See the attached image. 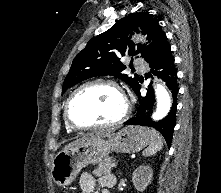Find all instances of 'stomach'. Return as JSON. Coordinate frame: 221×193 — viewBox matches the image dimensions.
<instances>
[{"instance_id": "obj_1", "label": "stomach", "mask_w": 221, "mask_h": 193, "mask_svg": "<svg viewBox=\"0 0 221 193\" xmlns=\"http://www.w3.org/2000/svg\"><path fill=\"white\" fill-rule=\"evenodd\" d=\"M151 131L142 126H126L118 132L59 152L51 164V177L58 186L70 185L82 168L98 164L111 152L135 153L150 143Z\"/></svg>"}]
</instances>
